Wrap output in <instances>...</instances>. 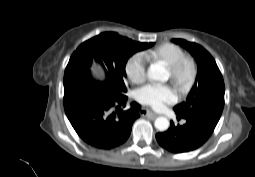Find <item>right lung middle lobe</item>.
I'll use <instances>...</instances> for the list:
<instances>
[{
    "label": "right lung middle lobe",
    "instance_id": "dd1d6c3e",
    "mask_svg": "<svg viewBox=\"0 0 255 177\" xmlns=\"http://www.w3.org/2000/svg\"><path fill=\"white\" fill-rule=\"evenodd\" d=\"M154 43H140L126 37L101 33L82 43L72 54L65 69L64 86L76 84L97 86L117 97L127 92L125 65L134 53L153 46ZM92 63L98 64L105 73L103 80L91 76Z\"/></svg>",
    "mask_w": 255,
    "mask_h": 177
}]
</instances>
